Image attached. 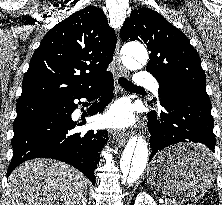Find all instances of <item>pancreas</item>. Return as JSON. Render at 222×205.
Listing matches in <instances>:
<instances>
[{
    "instance_id": "cf45deb5",
    "label": "pancreas",
    "mask_w": 222,
    "mask_h": 205,
    "mask_svg": "<svg viewBox=\"0 0 222 205\" xmlns=\"http://www.w3.org/2000/svg\"><path fill=\"white\" fill-rule=\"evenodd\" d=\"M164 205H177V203L169 200V201H166Z\"/></svg>"
}]
</instances>
